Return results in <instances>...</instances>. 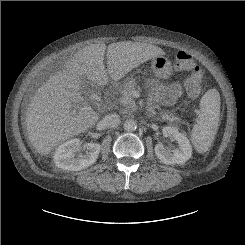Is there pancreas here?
Returning a JSON list of instances; mask_svg holds the SVG:
<instances>
[{
	"label": "pancreas",
	"instance_id": "cf45deb5",
	"mask_svg": "<svg viewBox=\"0 0 245 245\" xmlns=\"http://www.w3.org/2000/svg\"><path fill=\"white\" fill-rule=\"evenodd\" d=\"M135 87H136V82L134 79H131L125 84L123 90L121 91V97L119 98V103L120 105L123 106L122 107L123 113L135 111L137 109L135 100L132 97V92L135 89ZM160 117L163 120H167L171 122L179 120L178 117L174 116V114L170 112H161Z\"/></svg>",
	"mask_w": 245,
	"mask_h": 245
}]
</instances>
